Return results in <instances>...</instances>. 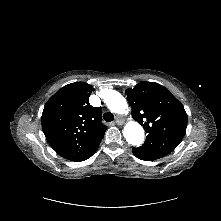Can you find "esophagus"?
<instances>
[{
  "label": "esophagus",
  "mask_w": 221,
  "mask_h": 221,
  "mask_svg": "<svg viewBox=\"0 0 221 221\" xmlns=\"http://www.w3.org/2000/svg\"><path fill=\"white\" fill-rule=\"evenodd\" d=\"M115 123L117 125H122L123 124V119L121 117H117L116 120H115Z\"/></svg>",
  "instance_id": "34e87169"
}]
</instances>
